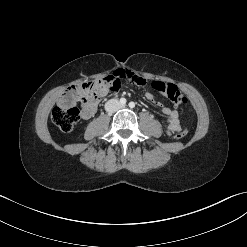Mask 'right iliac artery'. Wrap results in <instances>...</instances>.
I'll use <instances>...</instances> for the list:
<instances>
[{"label":"right iliac artery","instance_id":"82829eb1","mask_svg":"<svg viewBox=\"0 0 247 247\" xmlns=\"http://www.w3.org/2000/svg\"><path fill=\"white\" fill-rule=\"evenodd\" d=\"M126 102H127V101H126V99H125V98H121V99H120V103H121L122 105H125V104H126Z\"/></svg>","mask_w":247,"mask_h":247}]
</instances>
